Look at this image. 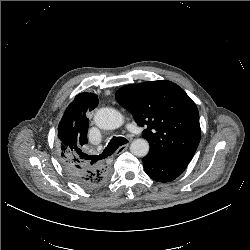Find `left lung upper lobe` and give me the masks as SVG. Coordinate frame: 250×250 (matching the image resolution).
<instances>
[{"instance_id": "1", "label": "left lung upper lobe", "mask_w": 250, "mask_h": 250, "mask_svg": "<svg viewBox=\"0 0 250 250\" xmlns=\"http://www.w3.org/2000/svg\"><path fill=\"white\" fill-rule=\"evenodd\" d=\"M150 144L149 153L168 161L189 163L199 145V112L192 99L170 81L130 84L116 92Z\"/></svg>"}]
</instances>
